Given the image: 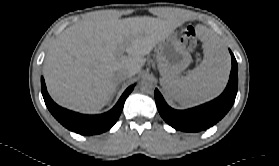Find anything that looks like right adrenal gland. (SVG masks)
<instances>
[{
    "mask_svg": "<svg viewBox=\"0 0 279 166\" xmlns=\"http://www.w3.org/2000/svg\"><path fill=\"white\" fill-rule=\"evenodd\" d=\"M118 88H119V86H117L116 90H117ZM116 90H115V91H116Z\"/></svg>",
    "mask_w": 279,
    "mask_h": 166,
    "instance_id": "right-adrenal-gland-1",
    "label": "right adrenal gland"
}]
</instances>
